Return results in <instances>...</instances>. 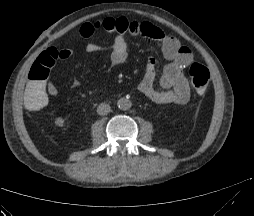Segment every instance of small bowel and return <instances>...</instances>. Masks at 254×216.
Listing matches in <instances>:
<instances>
[{"mask_svg": "<svg viewBox=\"0 0 254 216\" xmlns=\"http://www.w3.org/2000/svg\"><path fill=\"white\" fill-rule=\"evenodd\" d=\"M99 29L115 33L113 41L110 44L88 43L84 50L108 51L113 66H120L127 60L126 35H140L158 41L164 57L168 60L159 78V88L155 87L156 63L151 59L147 64L145 76L138 85L139 92L156 104H186L189 101L190 87L183 74L184 69L193 61V53L188 46L181 44L177 38L152 23L126 18H106L101 22L84 23L79 29V36L90 38ZM59 50V60H65L74 53L70 48H59ZM44 83L47 86L48 97L58 95L59 90L51 79Z\"/></svg>", "mask_w": 254, "mask_h": 216, "instance_id": "c3829d8e", "label": "small bowel"}]
</instances>
